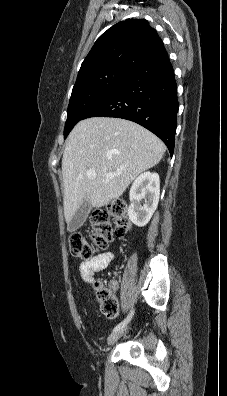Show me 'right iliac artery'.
I'll return each mask as SVG.
<instances>
[{
    "label": "right iliac artery",
    "instance_id": "1",
    "mask_svg": "<svg viewBox=\"0 0 227 396\" xmlns=\"http://www.w3.org/2000/svg\"><path fill=\"white\" fill-rule=\"evenodd\" d=\"M133 315H134V310L132 309L130 311V313L128 314V316L113 329V332L124 328L125 325H127L129 323V321L132 319Z\"/></svg>",
    "mask_w": 227,
    "mask_h": 396
}]
</instances>
